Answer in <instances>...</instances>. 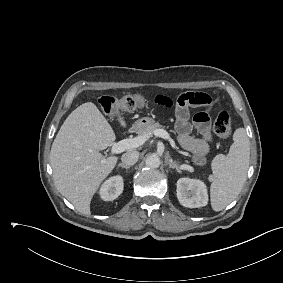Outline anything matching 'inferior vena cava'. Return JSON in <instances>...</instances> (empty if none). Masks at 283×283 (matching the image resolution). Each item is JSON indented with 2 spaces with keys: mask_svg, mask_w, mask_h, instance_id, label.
Segmentation results:
<instances>
[{
  "mask_svg": "<svg viewBox=\"0 0 283 283\" xmlns=\"http://www.w3.org/2000/svg\"><path fill=\"white\" fill-rule=\"evenodd\" d=\"M138 158H139L138 151H128L122 155L121 160L123 164L127 166H131V165H134L138 161Z\"/></svg>",
  "mask_w": 283,
  "mask_h": 283,
  "instance_id": "obj_1",
  "label": "inferior vena cava"
}]
</instances>
